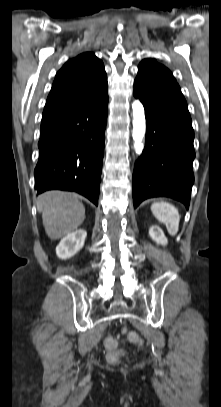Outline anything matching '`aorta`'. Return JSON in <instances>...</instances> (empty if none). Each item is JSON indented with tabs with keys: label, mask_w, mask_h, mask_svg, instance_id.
<instances>
[{
	"label": "aorta",
	"mask_w": 221,
	"mask_h": 407,
	"mask_svg": "<svg viewBox=\"0 0 221 407\" xmlns=\"http://www.w3.org/2000/svg\"><path fill=\"white\" fill-rule=\"evenodd\" d=\"M132 110H133L132 137L134 140V149H135V152L138 155H140L144 148L143 138H144L145 131H146L145 112H144V107L139 100H135L132 103Z\"/></svg>",
	"instance_id": "762f6f07"
}]
</instances>
